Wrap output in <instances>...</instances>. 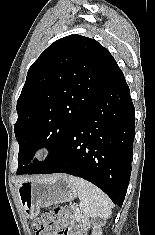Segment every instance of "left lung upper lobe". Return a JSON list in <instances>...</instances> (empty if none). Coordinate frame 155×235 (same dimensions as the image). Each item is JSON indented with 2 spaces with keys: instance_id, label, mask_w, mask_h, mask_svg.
I'll return each instance as SVG.
<instances>
[{
  "instance_id": "obj_1",
  "label": "left lung upper lobe",
  "mask_w": 155,
  "mask_h": 235,
  "mask_svg": "<svg viewBox=\"0 0 155 235\" xmlns=\"http://www.w3.org/2000/svg\"><path fill=\"white\" fill-rule=\"evenodd\" d=\"M117 67L106 48L80 35L61 38L42 52L17 101L18 175L35 174L53 159ZM41 147L49 149L46 160L30 163Z\"/></svg>"
}]
</instances>
